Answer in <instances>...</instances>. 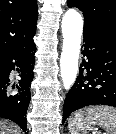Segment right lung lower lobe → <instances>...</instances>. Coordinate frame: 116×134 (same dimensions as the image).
Returning <instances> with one entry per match:
<instances>
[{"label":"right lung lower lobe","instance_id":"obj_1","mask_svg":"<svg viewBox=\"0 0 116 134\" xmlns=\"http://www.w3.org/2000/svg\"><path fill=\"white\" fill-rule=\"evenodd\" d=\"M35 51L32 38L0 57V118L17 123L24 132L27 130L26 112L31 98ZM15 69L21 79L12 85L9 75Z\"/></svg>","mask_w":116,"mask_h":134}]
</instances>
